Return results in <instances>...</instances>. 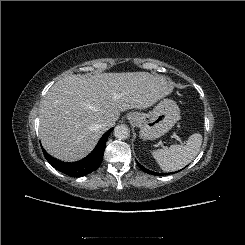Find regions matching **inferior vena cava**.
I'll list each match as a JSON object with an SVG mask.
<instances>
[{
	"mask_svg": "<svg viewBox=\"0 0 245 245\" xmlns=\"http://www.w3.org/2000/svg\"><path fill=\"white\" fill-rule=\"evenodd\" d=\"M115 125V121L114 120H106L103 122L102 126L105 128V129H109L111 127H113Z\"/></svg>",
	"mask_w": 245,
	"mask_h": 245,
	"instance_id": "obj_1",
	"label": "inferior vena cava"
}]
</instances>
